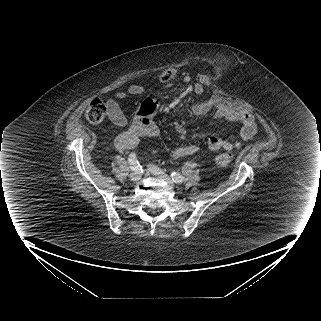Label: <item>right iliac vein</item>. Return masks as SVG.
<instances>
[{
	"mask_svg": "<svg viewBox=\"0 0 321 321\" xmlns=\"http://www.w3.org/2000/svg\"><path fill=\"white\" fill-rule=\"evenodd\" d=\"M130 179L133 182H137L141 179V173L140 171H135L130 175Z\"/></svg>",
	"mask_w": 321,
	"mask_h": 321,
	"instance_id": "obj_1",
	"label": "right iliac vein"
}]
</instances>
